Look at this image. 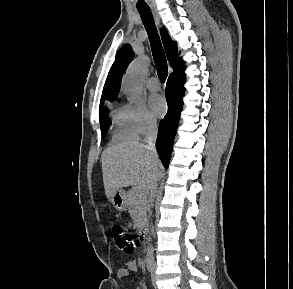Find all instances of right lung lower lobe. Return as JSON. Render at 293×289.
<instances>
[{
    "mask_svg": "<svg viewBox=\"0 0 293 289\" xmlns=\"http://www.w3.org/2000/svg\"><path fill=\"white\" fill-rule=\"evenodd\" d=\"M185 77L169 76L165 95L168 103V112L166 116L160 121L158 137L156 141V149L158 151L160 160L165 168H168L173 138L176 133V128L180 113L182 111V95L184 88Z\"/></svg>",
    "mask_w": 293,
    "mask_h": 289,
    "instance_id": "right-lung-lower-lobe-1",
    "label": "right lung lower lobe"
}]
</instances>
